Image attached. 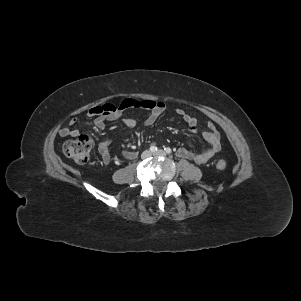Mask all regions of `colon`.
Instances as JSON below:
<instances>
[{
    "label": "colon",
    "instance_id": "obj_1",
    "mask_svg": "<svg viewBox=\"0 0 301 301\" xmlns=\"http://www.w3.org/2000/svg\"><path fill=\"white\" fill-rule=\"evenodd\" d=\"M115 109V105L105 104L103 105L102 111L111 112ZM91 149L92 140L87 134H80L76 138L66 141L63 145L64 154L77 163H86L90 158ZM216 167L219 170H225L227 164L224 160H219L216 163Z\"/></svg>",
    "mask_w": 301,
    "mask_h": 301
}]
</instances>
